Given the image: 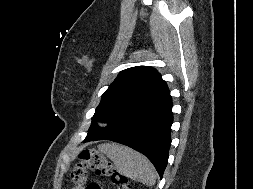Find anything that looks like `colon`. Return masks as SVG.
Returning a JSON list of instances; mask_svg holds the SVG:
<instances>
[{
	"instance_id": "1",
	"label": "colon",
	"mask_w": 253,
	"mask_h": 189,
	"mask_svg": "<svg viewBox=\"0 0 253 189\" xmlns=\"http://www.w3.org/2000/svg\"><path fill=\"white\" fill-rule=\"evenodd\" d=\"M79 161L71 171L70 178L76 186H82L86 182L87 171L91 170L99 177L110 178L116 189H131L128 178L120 174L114 164L100 151L87 148L79 153ZM86 189H101L96 182L89 183Z\"/></svg>"
}]
</instances>
